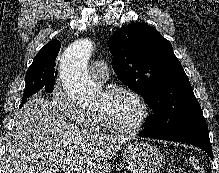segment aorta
Instances as JSON below:
<instances>
[{
  "label": "aorta",
  "instance_id": "aorta-1",
  "mask_svg": "<svg viewBox=\"0 0 219 173\" xmlns=\"http://www.w3.org/2000/svg\"><path fill=\"white\" fill-rule=\"evenodd\" d=\"M93 51V42L80 39L70 44L64 51L60 64V77L67 94L79 102H89L96 98L99 87L87 72V63Z\"/></svg>",
  "mask_w": 219,
  "mask_h": 173
}]
</instances>
